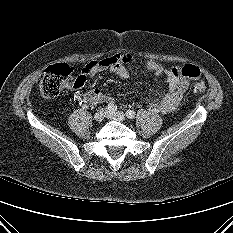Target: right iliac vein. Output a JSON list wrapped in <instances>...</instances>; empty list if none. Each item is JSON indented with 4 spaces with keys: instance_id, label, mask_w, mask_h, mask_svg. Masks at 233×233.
<instances>
[{
    "instance_id": "right-iliac-vein-1",
    "label": "right iliac vein",
    "mask_w": 233,
    "mask_h": 233,
    "mask_svg": "<svg viewBox=\"0 0 233 233\" xmlns=\"http://www.w3.org/2000/svg\"><path fill=\"white\" fill-rule=\"evenodd\" d=\"M106 116H107V110L100 109L95 113L94 119L98 122H101Z\"/></svg>"
}]
</instances>
